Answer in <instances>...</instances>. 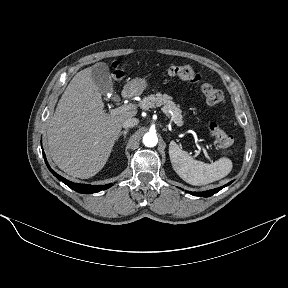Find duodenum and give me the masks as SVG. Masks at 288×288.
Wrapping results in <instances>:
<instances>
[{
	"mask_svg": "<svg viewBox=\"0 0 288 288\" xmlns=\"http://www.w3.org/2000/svg\"><path fill=\"white\" fill-rule=\"evenodd\" d=\"M124 98H129L131 96V91L129 89H125L122 93Z\"/></svg>",
	"mask_w": 288,
	"mask_h": 288,
	"instance_id": "duodenum-1",
	"label": "duodenum"
}]
</instances>
